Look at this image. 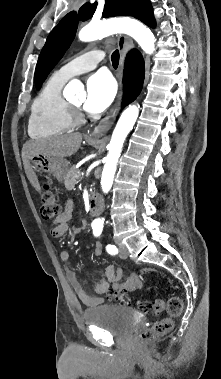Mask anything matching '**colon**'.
<instances>
[{
    "label": "colon",
    "mask_w": 221,
    "mask_h": 379,
    "mask_svg": "<svg viewBox=\"0 0 221 379\" xmlns=\"http://www.w3.org/2000/svg\"><path fill=\"white\" fill-rule=\"evenodd\" d=\"M59 213L60 205L58 200L54 193L46 187L42 195L40 207L41 217L45 221H52L58 217ZM112 295L123 300L124 294L121 292H112ZM143 306L145 310L152 315H157L166 310L170 316L157 320L150 328L145 329L140 333V339L146 343L170 332L173 326L171 317L179 316L183 310V302L176 296L169 298L166 303L161 299H155L145 302Z\"/></svg>",
    "instance_id": "1"
}]
</instances>
